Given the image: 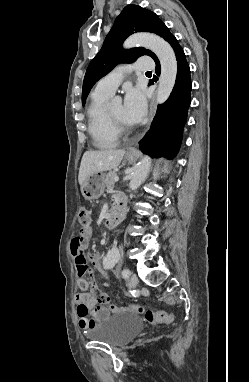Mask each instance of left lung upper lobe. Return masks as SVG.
Listing matches in <instances>:
<instances>
[{
	"mask_svg": "<svg viewBox=\"0 0 249 382\" xmlns=\"http://www.w3.org/2000/svg\"><path fill=\"white\" fill-rule=\"evenodd\" d=\"M153 32L170 42L174 36L166 25L152 11L138 5L126 6L116 18L105 38L100 52L90 62L83 81L82 104H85L93 85L119 63H131L142 55L157 60L156 55L143 47L123 50L124 40L134 32Z\"/></svg>",
	"mask_w": 249,
	"mask_h": 382,
	"instance_id": "obj_1",
	"label": "left lung upper lobe"
}]
</instances>
